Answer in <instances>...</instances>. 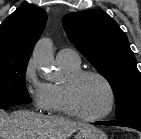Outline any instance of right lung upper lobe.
<instances>
[{"mask_svg": "<svg viewBox=\"0 0 141 139\" xmlns=\"http://www.w3.org/2000/svg\"><path fill=\"white\" fill-rule=\"evenodd\" d=\"M47 21L45 10L19 6L0 25V63H28Z\"/></svg>", "mask_w": 141, "mask_h": 139, "instance_id": "obj_1", "label": "right lung upper lobe"}]
</instances>
